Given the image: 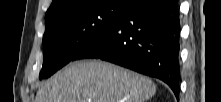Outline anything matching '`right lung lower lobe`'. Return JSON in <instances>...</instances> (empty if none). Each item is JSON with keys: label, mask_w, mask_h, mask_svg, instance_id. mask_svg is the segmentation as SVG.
I'll return each instance as SVG.
<instances>
[{"label": "right lung lower lobe", "mask_w": 221, "mask_h": 102, "mask_svg": "<svg viewBox=\"0 0 221 102\" xmlns=\"http://www.w3.org/2000/svg\"><path fill=\"white\" fill-rule=\"evenodd\" d=\"M180 18L176 0H137L74 60L97 58L164 81L179 97Z\"/></svg>", "instance_id": "obj_1"}]
</instances>
